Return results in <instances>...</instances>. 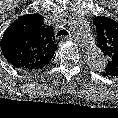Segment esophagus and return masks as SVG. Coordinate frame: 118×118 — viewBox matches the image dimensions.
<instances>
[{
    "instance_id": "obj_1",
    "label": "esophagus",
    "mask_w": 118,
    "mask_h": 118,
    "mask_svg": "<svg viewBox=\"0 0 118 118\" xmlns=\"http://www.w3.org/2000/svg\"><path fill=\"white\" fill-rule=\"evenodd\" d=\"M71 39H73L74 41H77V38L74 37V36H66V37H64V40H71ZM80 46L83 47V44L80 43Z\"/></svg>"
}]
</instances>
